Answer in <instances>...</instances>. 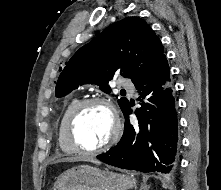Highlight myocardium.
<instances>
[{"label": "myocardium", "instance_id": "f54148a6", "mask_svg": "<svg viewBox=\"0 0 221 190\" xmlns=\"http://www.w3.org/2000/svg\"><path fill=\"white\" fill-rule=\"evenodd\" d=\"M94 104H101L106 106L112 114L113 117V130L110 138L102 145L96 148H86L84 147L76 137V126L80 115L87 109L89 106ZM65 132L66 138L73 149L80 154L92 155L104 152L111 148L118 140L121 132V122L119 114L112 103V101L106 97H91L88 99L82 100L77 104L74 109L70 112L66 119L65 123Z\"/></svg>", "mask_w": 221, "mask_h": 190}]
</instances>
